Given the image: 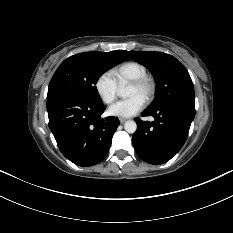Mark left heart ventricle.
I'll list each match as a JSON object with an SVG mask.
<instances>
[{"label": "left heart ventricle", "mask_w": 233, "mask_h": 233, "mask_svg": "<svg viewBox=\"0 0 233 233\" xmlns=\"http://www.w3.org/2000/svg\"><path fill=\"white\" fill-rule=\"evenodd\" d=\"M133 95H139L143 98V93L139 89H137L136 87H134L132 85H129L127 92H126V96L130 97Z\"/></svg>", "instance_id": "b2bd125f"}]
</instances>
